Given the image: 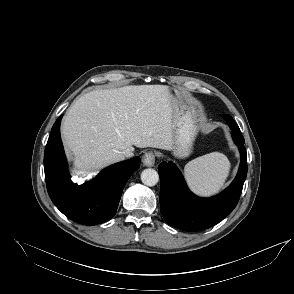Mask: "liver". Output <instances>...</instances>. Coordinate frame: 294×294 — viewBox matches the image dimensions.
Listing matches in <instances>:
<instances>
[{
  "instance_id": "liver-1",
  "label": "liver",
  "mask_w": 294,
  "mask_h": 294,
  "mask_svg": "<svg viewBox=\"0 0 294 294\" xmlns=\"http://www.w3.org/2000/svg\"><path fill=\"white\" fill-rule=\"evenodd\" d=\"M179 98L166 85H134L94 90L68 109L62 134L83 173L124 159L133 146L171 149Z\"/></svg>"
}]
</instances>
